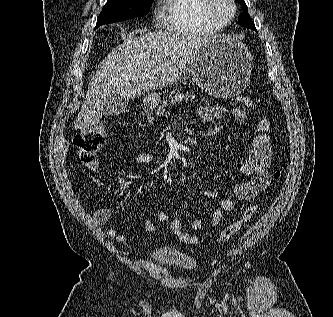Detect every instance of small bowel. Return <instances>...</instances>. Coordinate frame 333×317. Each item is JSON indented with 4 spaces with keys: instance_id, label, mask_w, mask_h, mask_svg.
<instances>
[{
    "instance_id": "c3829d8e",
    "label": "small bowel",
    "mask_w": 333,
    "mask_h": 317,
    "mask_svg": "<svg viewBox=\"0 0 333 317\" xmlns=\"http://www.w3.org/2000/svg\"><path fill=\"white\" fill-rule=\"evenodd\" d=\"M196 114L207 121H213L231 114L240 122H246L247 114L239 109L232 108L228 110L221 106H201L196 110ZM256 136L252 142V148L247 161L241 167V173L247 178L246 180L238 181L233 187L234 196L243 201L253 200L258 194L264 191L270 184L271 177L268 168L272 164L273 149L270 143L269 129L270 124L266 118H261L257 121ZM136 163L149 164L153 162L154 156L152 153H139L133 158ZM93 169L97 167V163L92 165ZM201 193L216 201L214 211L211 216V225L218 226L224 220L225 212H234L236 210V203L218 193L210 190H202ZM156 218L160 221L168 223L173 219V216L164 212L157 211ZM111 218V211L107 208H99L93 213V220L99 226L106 225ZM143 225L147 232L155 231V224L146 216L143 215ZM203 221L199 218L194 219L190 228L193 231L201 229ZM107 236L119 243L128 241L129 235L126 233H119L115 228L107 230Z\"/></svg>"
}]
</instances>
